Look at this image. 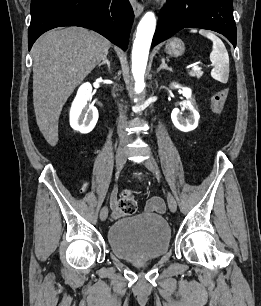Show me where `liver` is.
Segmentation results:
<instances>
[{
    "label": "liver",
    "mask_w": 261,
    "mask_h": 306,
    "mask_svg": "<svg viewBox=\"0 0 261 306\" xmlns=\"http://www.w3.org/2000/svg\"><path fill=\"white\" fill-rule=\"evenodd\" d=\"M111 43L82 27L55 29L43 34L32 47L33 105L45 140L58 142V120L74 89L100 64Z\"/></svg>",
    "instance_id": "obj_1"
}]
</instances>
